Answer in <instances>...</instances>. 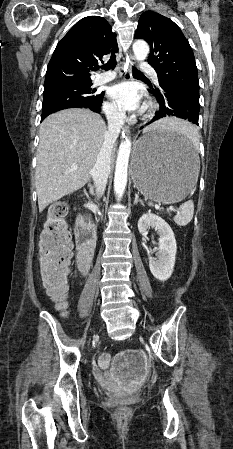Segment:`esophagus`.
Listing matches in <instances>:
<instances>
[{"label": "esophagus", "mask_w": 233, "mask_h": 449, "mask_svg": "<svg viewBox=\"0 0 233 449\" xmlns=\"http://www.w3.org/2000/svg\"><path fill=\"white\" fill-rule=\"evenodd\" d=\"M135 63V58L133 55L127 56L125 63H124V71H125V79H131L132 73H131V67ZM123 133L128 134L129 133V126L124 125L123 126Z\"/></svg>", "instance_id": "esophagus-1"}]
</instances>
